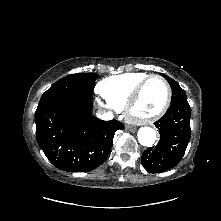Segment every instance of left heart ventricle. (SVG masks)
<instances>
[{
  "label": "left heart ventricle",
  "mask_w": 221,
  "mask_h": 221,
  "mask_svg": "<svg viewBox=\"0 0 221 221\" xmlns=\"http://www.w3.org/2000/svg\"><path fill=\"white\" fill-rule=\"evenodd\" d=\"M165 98L166 88L164 84L159 79H152L142 90L133 113L139 117L152 115L162 107Z\"/></svg>",
  "instance_id": "obj_1"
}]
</instances>
